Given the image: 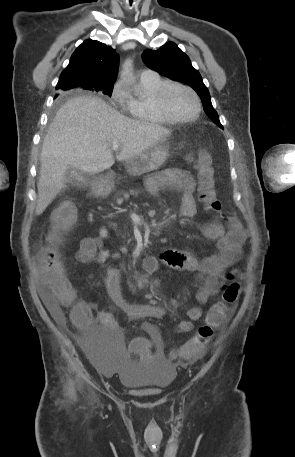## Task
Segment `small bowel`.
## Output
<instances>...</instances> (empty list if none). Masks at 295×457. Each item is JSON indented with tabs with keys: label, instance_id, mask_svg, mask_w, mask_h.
I'll list each match as a JSON object with an SVG mask.
<instances>
[{
	"label": "small bowel",
	"instance_id": "small-bowel-1",
	"mask_svg": "<svg viewBox=\"0 0 295 457\" xmlns=\"http://www.w3.org/2000/svg\"><path fill=\"white\" fill-rule=\"evenodd\" d=\"M195 186V181L190 174L178 169L164 170L146 183L147 190L152 195L161 191L179 192L182 195L181 213L186 217H193L197 212L193 197ZM203 232L207 238L217 242L218 252L216 254L198 260L188 252L169 248L159 256H148L143 260V269L148 273H154L161 265H165L175 270L197 272L201 275V284L195 295L199 305L190 308L187 311V319L181 321L177 326L178 331L184 333L190 332L194 322L202 317L201 305L207 303L210 297L218 294L221 289L223 272L238 261L246 240L242 226L234 218H229L226 223L212 221L203 227ZM108 237V229L102 226L96 237L82 238L75 255L76 260L80 263H105L111 256V252L105 246ZM103 280L111 300L126 316L134 319H163L166 316V308L162 305L126 301L121 292L118 268L108 267ZM42 281L44 289L41 295L47 309L57 321L63 322L59 301L50 289L45 274H42ZM167 302L173 307L176 305V301L172 298H167ZM74 314L76 318L74 319L72 314V320L83 338H101L104 335H117L120 332V326L111 313L100 309L96 315H93L92 307L86 302H79ZM142 328L151 337V339L145 338L144 341H150L152 349L154 345H162L158 329L153 323L145 321ZM203 353L195 358H200Z\"/></svg>",
	"mask_w": 295,
	"mask_h": 457
}]
</instances>
